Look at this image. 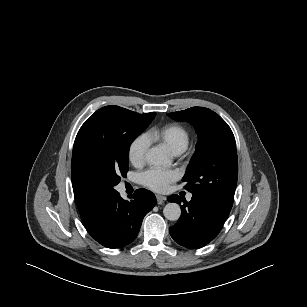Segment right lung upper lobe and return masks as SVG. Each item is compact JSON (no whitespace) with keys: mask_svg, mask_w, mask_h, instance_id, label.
I'll use <instances>...</instances> for the list:
<instances>
[{"mask_svg":"<svg viewBox=\"0 0 307 307\" xmlns=\"http://www.w3.org/2000/svg\"><path fill=\"white\" fill-rule=\"evenodd\" d=\"M75 201L81 216L82 221H86L93 210L104 200V199H91L83 195L76 189H73Z\"/></svg>","mask_w":307,"mask_h":307,"instance_id":"obj_1","label":"right lung upper lobe"}]
</instances>
